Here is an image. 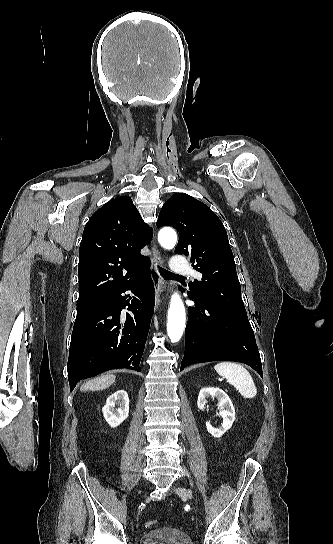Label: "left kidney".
<instances>
[{
	"instance_id": "5707ae66",
	"label": "left kidney",
	"mask_w": 333,
	"mask_h": 544,
	"mask_svg": "<svg viewBox=\"0 0 333 544\" xmlns=\"http://www.w3.org/2000/svg\"><path fill=\"white\" fill-rule=\"evenodd\" d=\"M209 397L216 398L218 400V406L220 408V416L223 418V422L220 427H213L210 422H206L208 432L215 438L221 437L227 430L232 427L235 420V409L228 397V395L220 388H202L199 392L197 406L200 410L205 409L207 399Z\"/></svg>"
}]
</instances>
